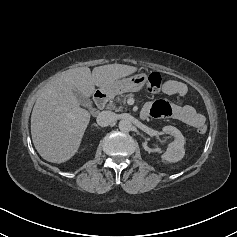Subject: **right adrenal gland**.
<instances>
[{
    "mask_svg": "<svg viewBox=\"0 0 237 237\" xmlns=\"http://www.w3.org/2000/svg\"><path fill=\"white\" fill-rule=\"evenodd\" d=\"M93 126L97 127L98 128V125L97 124H93Z\"/></svg>",
    "mask_w": 237,
    "mask_h": 237,
    "instance_id": "2a0ac1e0",
    "label": "right adrenal gland"
}]
</instances>
